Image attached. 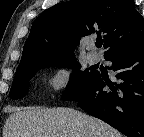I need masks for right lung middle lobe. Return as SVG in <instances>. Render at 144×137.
I'll use <instances>...</instances> for the list:
<instances>
[{"label":"right lung middle lobe","instance_id":"obj_1","mask_svg":"<svg viewBox=\"0 0 144 137\" xmlns=\"http://www.w3.org/2000/svg\"><path fill=\"white\" fill-rule=\"evenodd\" d=\"M49 66H61L73 69L70 82L62 95V99L66 101H74L79 98L97 74L95 70H81V66L77 63L74 56L34 60L18 66L10 90L11 98L19 99L26 95L29 89V80L34 76L35 72Z\"/></svg>","mask_w":144,"mask_h":137}]
</instances>
